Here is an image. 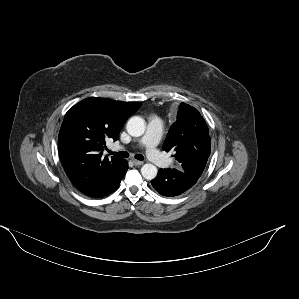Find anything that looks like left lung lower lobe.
<instances>
[{
	"label": "left lung lower lobe",
	"instance_id": "1",
	"mask_svg": "<svg viewBox=\"0 0 299 299\" xmlns=\"http://www.w3.org/2000/svg\"><path fill=\"white\" fill-rule=\"evenodd\" d=\"M197 180L181 170L167 168L159 169L158 175L151 181L152 186L163 196H178L190 189Z\"/></svg>",
	"mask_w": 299,
	"mask_h": 299
}]
</instances>
